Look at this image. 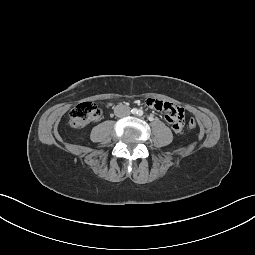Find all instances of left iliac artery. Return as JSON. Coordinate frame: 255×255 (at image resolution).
<instances>
[{
    "label": "left iliac artery",
    "instance_id": "obj_1",
    "mask_svg": "<svg viewBox=\"0 0 255 255\" xmlns=\"http://www.w3.org/2000/svg\"><path fill=\"white\" fill-rule=\"evenodd\" d=\"M137 114H138V116H142L143 115V111L142 110H138Z\"/></svg>",
    "mask_w": 255,
    "mask_h": 255
}]
</instances>
